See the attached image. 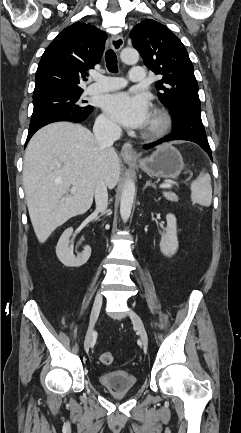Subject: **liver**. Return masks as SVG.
<instances>
[{
    "instance_id": "obj_1",
    "label": "liver",
    "mask_w": 241,
    "mask_h": 433,
    "mask_svg": "<svg viewBox=\"0 0 241 433\" xmlns=\"http://www.w3.org/2000/svg\"><path fill=\"white\" fill-rule=\"evenodd\" d=\"M99 176L113 189L120 177V160L113 148H100L87 128L56 122L34 134L25 152L23 185L40 243L90 209ZM71 185L76 192L69 194Z\"/></svg>"
}]
</instances>
